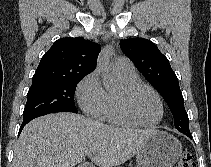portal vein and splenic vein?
<instances>
[{"label":"portal vein and splenic vein","mask_w":211,"mask_h":167,"mask_svg":"<svg viewBox=\"0 0 211 167\" xmlns=\"http://www.w3.org/2000/svg\"><path fill=\"white\" fill-rule=\"evenodd\" d=\"M87 157L92 158L93 154L92 153H87Z\"/></svg>","instance_id":"18ae733b"}]
</instances>
